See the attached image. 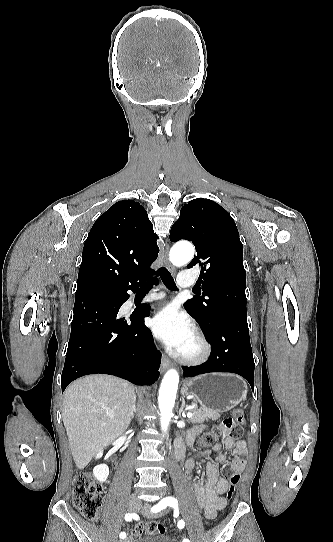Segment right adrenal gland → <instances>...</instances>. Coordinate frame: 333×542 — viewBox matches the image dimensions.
I'll return each mask as SVG.
<instances>
[{"label": "right adrenal gland", "mask_w": 333, "mask_h": 542, "mask_svg": "<svg viewBox=\"0 0 333 542\" xmlns=\"http://www.w3.org/2000/svg\"><path fill=\"white\" fill-rule=\"evenodd\" d=\"M135 402H136V400H135ZM135 402H134L133 408L131 410V420H132V418H134V412H136V404H135Z\"/></svg>", "instance_id": "2a0ac1e0"}]
</instances>
